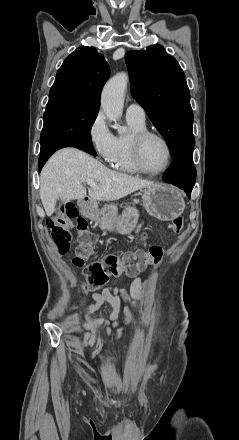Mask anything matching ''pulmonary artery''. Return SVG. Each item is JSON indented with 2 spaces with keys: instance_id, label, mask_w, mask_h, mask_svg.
<instances>
[{
  "instance_id": "obj_1",
  "label": "pulmonary artery",
  "mask_w": 239,
  "mask_h": 440,
  "mask_svg": "<svg viewBox=\"0 0 239 440\" xmlns=\"http://www.w3.org/2000/svg\"><path fill=\"white\" fill-rule=\"evenodd\" d=\"M126 116L129 120L139 123L145 122L146 113L144 108L137 102H130L126 109Z\"/></svg>"
}]
</instances>
